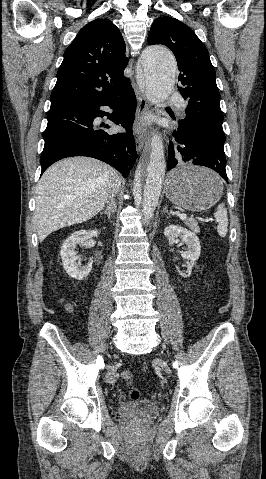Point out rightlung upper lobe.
<instances>
[{
  "label": "right lung upper lobe",
  "mask_w": 266,
  "mask_h": 479,
  "mask_svg": "<svg viewBox=\"0 0 266 479\" xmlns=\"http://www.w3.org/2000/svg\"><path fill=\"white\" fill-rule=\"evenodd\" d=\"M125 51L124 39L109 19L89 22L64 52L51 105L107 96L127 86Z\"/></svg>",
  "instance_id": "1"
}]
</instances>
